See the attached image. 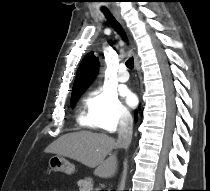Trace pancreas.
Masks as SVG:
<instances>
[{
    "label": "pancreas",
    "mask_w": 210,
    "mask_h": 191,
    "mask_svg": "<svg viewBox=\"0 0 210 191\" xmlns=\"http://www.w3.org/2000/svg\"><path fill=\"white\" fill-rule=\"evenodd\" d=\"M78 186L81 191H88L93 189V182L90 178L78 181Z\"/></svg>",
    "instance_id": "obj_1"
}]
</instances>
